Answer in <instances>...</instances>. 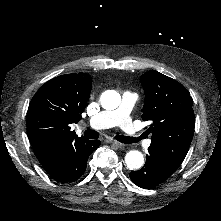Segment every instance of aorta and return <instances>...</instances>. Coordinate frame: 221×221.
I'll use <instances>...</instances> for the list:
<instances>
[{
    "label": "aorta",
    "mask_w": 221,
    "mask_h": 221,
    "mask_svg": "<svg viewBox=\"0 0 221 221\" xmlns=\"http://www.w3.org/2000/svg\"><path fill=\"white\" fill-rule=\"evenodd\" d=\"M100 101L104 109L113 110L119 106L121 97L116 91H108L101 95ZM125 163L130 170H138L144 164L143 154L140 151L131 150L125 156Z\"/></svg>",
    "instance_id": "1"
}]
</instances>
